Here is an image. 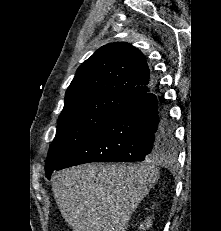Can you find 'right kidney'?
Returning a JSON list of instances; mask_svg holds the SVG:
<instances>
[{
  "instance_id": "right-kidney-1",
  "label": "right kidney",
  "mask_w": 221,
  "mask_h": 231,
  "mask_svg": "<svg viewBox=\"0 0 221 231\" xmlns=\"http://www.w3.org/2000/svg\"><path fill=\"white\" fill-rule=\"evenodd\" d=\"M145 225L147 226V228H149L151 226V220L148 219ZM139 229L145 230V227L141 224Z\"/></svg>"
}]
</instances>
